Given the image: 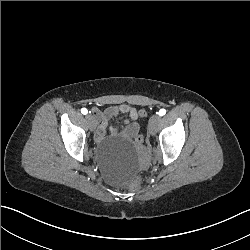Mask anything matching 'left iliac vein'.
Instances as JSON below:
<instances>
[{
  "label": "left iliac vein",
  "mask_w": 250,
  "mask_h": 250,
  "mask_svg": "<svg viewBox=\"0 0 250 250\" xmlns=\"http://www.w3.org/2000/svg\"><path fill=\"white\" fill-rule=\"evenodd\" d=\"M161 121V117L159 115H152L151 118L149 119L148 123V131L150 134H154L157 130V126L159 125Z\"/></svg>",
  "instance_id": "left-iliac-vein-1"
}]
</instances>
